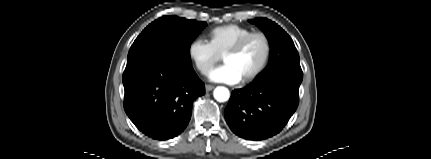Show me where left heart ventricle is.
Here are the masks:
<instances>
[{"mask_svg":"<svg viewBox=\"0 0 431 159\" xmlns=\"http://www.w3.org/2000/svg\"><path fill=\"white\" fill-rule=\"evenodd\" d=\"M264 55V41L257 37L252 39L241 53L227 56L224 62L231 65L243 79L259 67Z\"/></svg>","mask_w":431,"mask_h":159,"instance_id":"left-heart-ventricle-1","label":"left heart ventricle"}]
</instances>
